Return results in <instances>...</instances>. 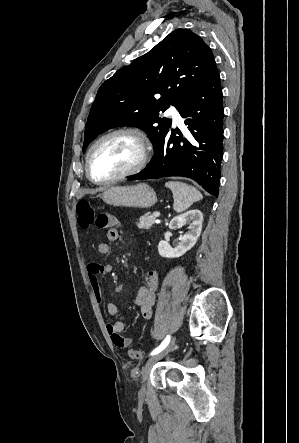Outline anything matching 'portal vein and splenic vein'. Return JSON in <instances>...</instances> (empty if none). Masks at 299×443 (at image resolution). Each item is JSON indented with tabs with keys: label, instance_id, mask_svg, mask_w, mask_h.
Segmentation results:
<instances>
[{
	"label": "portal vein and splenic vein",
	"instance_id": "obj_1",
	"mask_svg": "<svg viewBox=\"0 0 299 443\" xmlns=\"http://www.w3.org/2000/svg\"><path fill=\"white\" fill-rule=\"evenodd\" d=\"M153 216H154L155 218H157V217L160 216V213H159V212H154V213H153Z\"/></svg>",
	"mask_w": 299,
	"mask_h": 443
}]
</instances>
